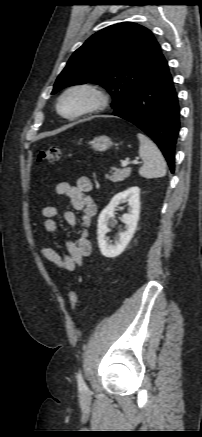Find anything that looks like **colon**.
<instances>
[{"instance_id": "colon-1", "label": "colon", "mask_w": 202, "mask_h": 437, "mask_svg": "<svg viewBox=\"0 0 202 437\" xmlns=\"http://www.w3.org/2000/svg\"><path fill=\"white\" fill-rule=\"evenodd\" d=\"M61 149L57 146L49 147L39 151L37 159L39 162H52L60 158ZM79 304L78 293L74 290L69 293V305L71 309H75Z\"/></svg>"}]
</instances>
